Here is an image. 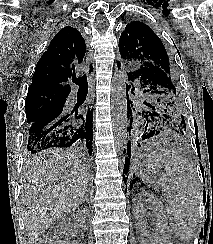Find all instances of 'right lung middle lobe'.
I'll use <instances>...</instances> for the list:
<instances>
[{
    "mask_svg": "<svg viewBox=\"0 0 213 244\" xmlns=\"http://www.w3.org/2000/svg\"><path fill=\"white\" fill-rule=\"evenodd\" d=\"M65 102L66 98L53 94L27 97L25 105L28 127L31 123L44 116L50 110L56 107H62Z\"/></svg>",
    "mask_w": 213,
    "mask_h": 244,
    "instance_id": "right-lung-middle-lobe-1",
    "label": "right lung middle lobe"
}]
</instances>
